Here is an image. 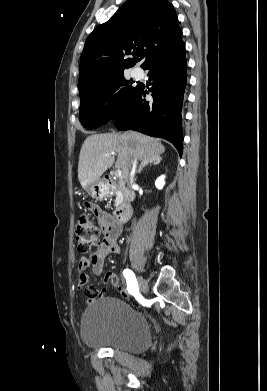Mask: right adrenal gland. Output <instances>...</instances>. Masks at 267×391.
Returning a JSON list of instances; mask_svg holds the SVG:
<instances>
[{"label":"right adrenal gland","instance_id":"obj_1","mask_svg":"<svg viewBox=\"0 0 267 391\" xmlns=\"http://www.w3.org/2000/svg\"><path fill=\"white\" fill-rule=\"evenodd\" d=\"M160 160H161V158H157V159H155V160H153V161H143V162H141V165L139 166V168H138V170H137V173L139 174V173H141V171L143 170V168L145 167V166H147V165H158L159 163H160Z\"/></svg>","mask_w":267,"mask_h":391}]
</instances>
